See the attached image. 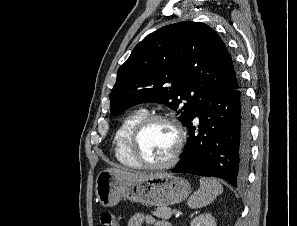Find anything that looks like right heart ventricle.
I'll list each match as a JSON object with an SVG mask.
<instances>
[{
	"label": "right heart ventricle",
	"mask_w": 297,
	"mask_h": 226,
	"mask_svg": "<svg viewBox=\"0 0 297 226\" xmlns=\"http://www.w3.org/2000/svg\"><path fill=\"white\" fill-rule=\"evenodd\" d=\"M145 115L147 111L142 108L129 112L121 121L114 135L115 158L125 167L139 169L140 166L129 152L128 140L134 125Z\"/></svg>",
	"instance_id": "obj_1"
}]
</instances>
